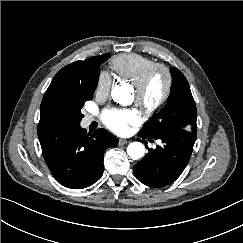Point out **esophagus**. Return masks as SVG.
Listing matches in <instances>:
<instances>
[{
	"label": "esophagus",
	"instance_id": "esophagus-1",
	"mask_svg": "<svg viewBox=\"0 0 243 243\" xmlns=\"http://www.w3.org/2000/svg\"><path fill=\"white\" fill-rule=\"evenodd\" d=\"M127 143H129V140H127V139H119V141H118L119 145H125Z\"/></svg>",
	"mask_w": 243,
	"mask_h": 243
}]
</instances>
